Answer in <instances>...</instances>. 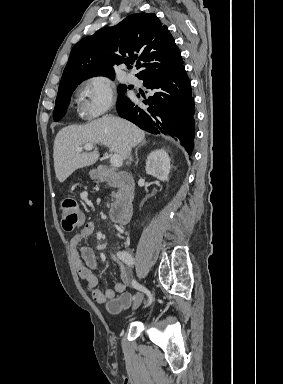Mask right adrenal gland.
<instances>
[{"label":"right adrenal gland","mask_w":283,"mask_h":384,"mask_svg":"<svg viewBox=\"0 0 283 384\" xmlns=\"http://www.w3.org/2000/svg\"><path fill=\"white\" fill-rule=\"evenodd\" d=\"M143 144H147V142H141L140 146H143ZM138 150H139V148H136V150H135V156H136L135 166H137V164H138V162H139V160H138V154H137Z\"/></svg>","instance_id":"obj_1"}]
</instances>
